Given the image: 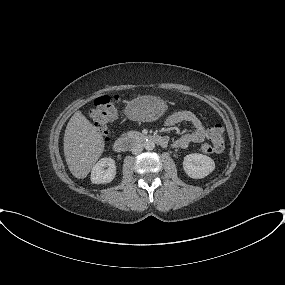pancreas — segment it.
<instances>
[{"label": "pancreas", "instance_id": "pancreas-1", "mask_svg": "<svg viewBox=\"0 0 285 285\" xmlns=\"http://www.w3.org/2000/svg\"><path fill=\"white\" fill-rule=\"evenodd\" d=\"M141 133L137 132V131H129L127 133V136H129L130 138L136 139L138 137H140Z\"/></svg>", "mask_w": 285, "mask_h": 285}]
</instances>
